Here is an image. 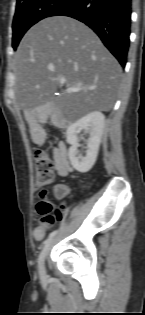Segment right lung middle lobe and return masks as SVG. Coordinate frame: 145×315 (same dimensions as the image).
Returning a JSON list of instances; mask_svg holds the SVG:
<instances>
[{
	"label": "right lung middle lobe",
	"mask_w": 145,
	"mask_h": 315,
	"mask_svg": "<svg viewBox=\"0 0 145 315\" xmlns=\"http://www.w3.org/2000/svg\"><path fill=\"white\" fill-rule=\"evenodd\" d=\"M69 0H18L13 19L12 46L17 48L25 32L38 21L51 16Z\"/></svg>",
	"instance_id": "right-lung-middle-lobe-1"
}]
</instances>
